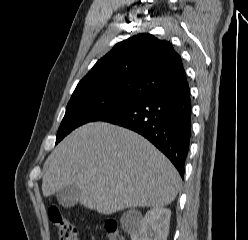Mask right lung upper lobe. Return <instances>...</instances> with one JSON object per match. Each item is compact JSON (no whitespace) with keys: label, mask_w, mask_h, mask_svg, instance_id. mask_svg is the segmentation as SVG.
I'll return each instance as SVG.
<instances>
[{"label":"right lung upper lobe","mask_w":248,"mask_h":240,"mask_svg":"<svg viewBox=\"0 0 248 240\" xmlns=\"http://www.w3.org/2000/svg\"><path fill=\"white\" fill-rule=\"evenodd\" d=\"M186 80L180 55L168 41L139 34L116 44L78 83L144 97Z\"/></svg>","instance_id":"right-lung-upper-lobe-1"}]
</instances>
